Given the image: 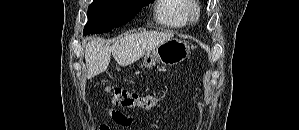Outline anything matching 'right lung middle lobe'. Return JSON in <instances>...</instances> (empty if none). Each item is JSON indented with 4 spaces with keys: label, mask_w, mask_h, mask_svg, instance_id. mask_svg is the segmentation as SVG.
I'll use <instances>...</instances> for the list:
<instances>
[{
    "label": "right lung middle lobe",
    "mask_w": 299,
    "mask_h": 130,
    "mask_svg": "<svg viewBox=\"0 0 299 130\" xmlns=\"http://www.w3.org/2000/svg\"><path fill=\"white\" fill-rule=\"evenodd\" d=\"M154 0H94L88 7L84 34L107 33L133 19L139 10Z\"/></svg>",
    "instance_id": "1"
}]
</instances>
